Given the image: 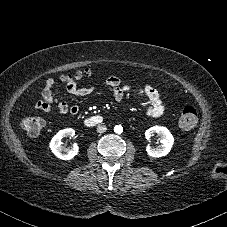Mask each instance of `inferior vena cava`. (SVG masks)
<instances>
[{
  "instance_id": "inferior-vena-cava-1",
  "label": "inferior vena cava",
  "mask_w": 227,
  "mask_h": 227,
  "mask_svg": "<svg viewBox=\"0 0 227 227\" xmlns=\"http://www.w3.org/2000/svg\"><path fill=\"white\" fill-rule=\"evenodd\" d=\"M107 130V127L105 126V125H99L98 127H97V132H99V133H103V132H105Z\"/></svg>"
}]
</instances>
